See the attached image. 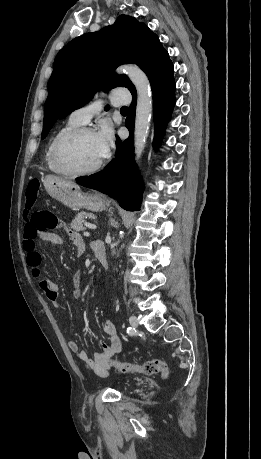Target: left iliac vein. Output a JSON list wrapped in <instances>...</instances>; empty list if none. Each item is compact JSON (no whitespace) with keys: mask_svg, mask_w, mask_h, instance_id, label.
<instances>
[{"mask_svg":"<svg viewBox=\"0 0 261 459\" xmlns=\"http://www.w3.org/2000/svg\"><path fill=\"white\" fill-rule=\"evenodd\" d=\"M129 322H130V324H131V326L133 328H137L138 327V321H137V318L135 316H131L129 318Z\"/></svg>","mask_w":261,"mask_h":459,"instance_id":"left-iliac-vein-1","label":"left iliac vein"}]
</instances>
